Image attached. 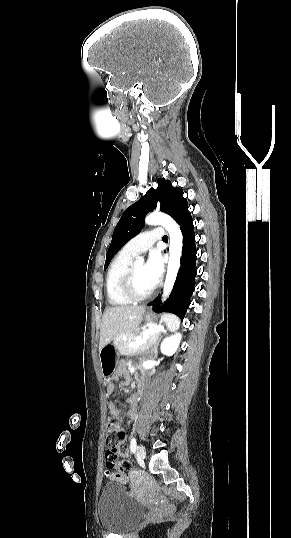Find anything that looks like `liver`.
<instances>
[{
  "label": "liver",
  "instance_id": "obj_1",
  "mask_svg": "<svg viewBox=\"0 0 291 538\" xmlns=\"http://www.w3.org/2000/svg\"><path fill=\"white\" fill-rule=\"evenodd\" d=\"M145 306H113L105 309L100 327L99 350L117 336L135 330L142 321Z\"/></svg>",
  "mask_w": 291,
  "mask_h": 538
}]
</instances>
